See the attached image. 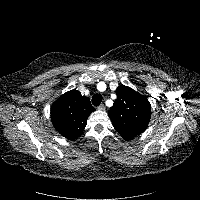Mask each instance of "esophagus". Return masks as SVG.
Masks as SVG:
<instances>
[{"mask_svg": "<svg viewBox=\"0 0 200 200\" xmlns=\"http://www.w3.org/2000/svg\"><path fill=\"white\" fill-rule=\"evenodd\" d=\"M98 110H101V111L105 110V105L104 104L99 105Z\"/></svg>", "mask_w": 200, "mask_h": 200, "instance_id": "esophagus-1", "label": "esophagus"}]
</instances>
